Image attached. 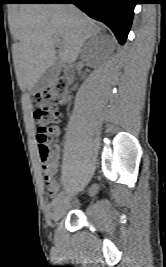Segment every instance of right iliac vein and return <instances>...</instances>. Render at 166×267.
<instances>
[{
  "instance_id": "1",
  "label": "right iliac vein",
  "mask_w": 166,
  "mask_h": 267,
  "mask_svg": "<svg viewBox=\"0 0 166 267\" xmlns=\"http://www.w3.org/2000/svg\"><path fill=\"white\" fill-rule=\"evenodd\" d=\"M69 202H70V199L67 198V199H64L62 201H60L56 206H55V209H54V212H53V219L55 221H58L59 219H61L64 214L66 213V210L69 206Z\"/></svg>"
}]
</instances>
